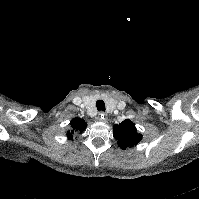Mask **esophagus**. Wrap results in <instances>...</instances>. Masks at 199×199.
I'll return each mask as SVG.
<instances>
[{"label": "esophagus", "instance_id": "34e87169", "mask_svg": "<svg viewBox=\"0 0 199 199\" xmlns=\"http://www.w3.org/2000/svg\"><path fill=\"white\" fill-rule=\"evenodd\" d=\"M98 118H99V120H101V121H104V122H106L107 121V116H106V114L105 113H99V116H98Z\"/></svg>", "mask_w": 199, "mask_h": 199}]
</instances>
